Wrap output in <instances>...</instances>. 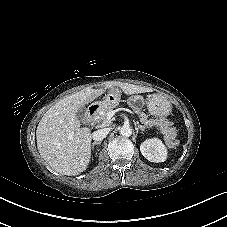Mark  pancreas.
<instances>
[{"mask_svg": "<svg viewBox=\"0 0 227 227\" xmlns=\"http://www.w3.org/2000/svg\"><path fill=\"white\" fill-rule=\"evenodd\" d=\"M117 105L112 106H104L100 109L99 112V119L107 125L109 123V120L107 119L108 112L112 111L114 108H116ZM135 113L139 116L140 122L144 124L146 127L150 128L153 126L158 127L159 131L164 135V138L168 145L173 146L174 140L177 136V130L175 127H171L170 122L161 121L159 119H148V116L142 112L140 109H136Z\"/></svg>", "mask_w": 227, "mask_h": 227, "instance_id": "1", "label": "pancreas"}]
</instances>
